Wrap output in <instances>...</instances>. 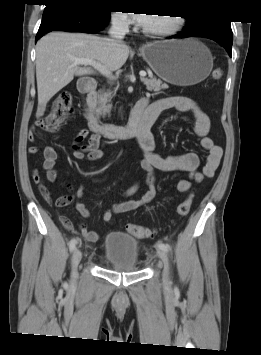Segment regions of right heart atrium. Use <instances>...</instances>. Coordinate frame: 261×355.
Instances as JSON below:
<instances>
[{
    "label": "right heart atrium",
    "instance_id": "d8ad5b80",
    "mask_svg": "<svg viewBox=\"0 0 261 355\" xmlns=\"http://www.w3.org/2000/svg\"><path fill=\"white\" fill-rule=\"evenodd\" d=\"M111 20L114 26L118 28H126L128 26V20L124 13H112Z\"/></svg>",
    "mask_w": 261,
    "mask_h": 355
}]
</instances>
